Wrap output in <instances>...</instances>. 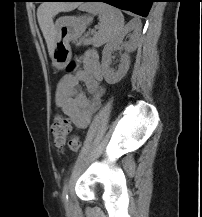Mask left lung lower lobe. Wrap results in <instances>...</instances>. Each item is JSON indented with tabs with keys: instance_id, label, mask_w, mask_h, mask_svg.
I'll list each match as a JSON object with an SVG mask.
<instances>
[{
	"instance_id": "1",
	"label": "left lung lower lobe",
	"mask_w": 202,
	"mask_h": 217,
	"mask_svg": "<svg viewBox=\"0 0 202 217\" xmlns=\"http://www.w3.org/2000/svg\"><path fill=\"white\" fill-rule=\"evenodd\" d=\"M41 1H71V2H104L123 10L147 17L155 0H41Z\"/></svg>"
}]
</instances>
